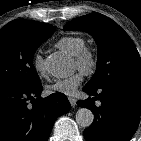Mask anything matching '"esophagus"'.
<instances>
[{
    "label": "esophagus",
    "mask_w": 141,
    "mask_h": 141,
    "mask_svg": "<svg viewBox=\"0 0 141 141\" xmlns=\"http://www.w3.org/2000/svg\"><path fill=\"white\" fill-rule=\"evenodd\" d=\"M68 100H69L70 105H71L72 107H75V106H76V100H75L74 98L69 97Z\"/></svg>",
    "instance_id": "1"
}]
</instances>
